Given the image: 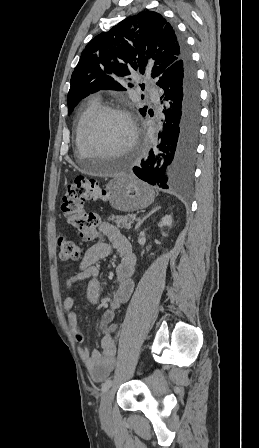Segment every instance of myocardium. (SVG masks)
Instances as JSON below:
<instances>
[{
  "label": "myocardium",
  "instance_id": "obj_1",
  "mask_svg": "<svg viewBox=\"0 0 259 448\" xmlns=\"http://www.w3.org/2000/svg\"><path fill=\"white\" fill-rule=\"evenodd\" d=\"M110 114H118L122 116L128 122L131 130L129 143L124 148L120 149L119 153L122 154L133 149L137 142L138 129L127 106L122 103L103 105L83 125L80 135L81 150L77 154V163H82L83 161V150L93 149L90 143V136L95 126L102 118Z\"/></svg>",
  "mask_w": 259,
  "mask_h": 448
}]
</instances>
